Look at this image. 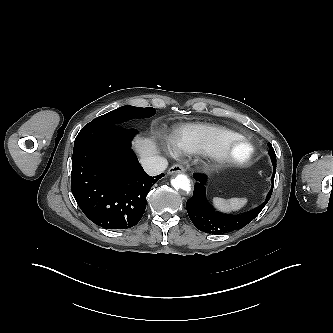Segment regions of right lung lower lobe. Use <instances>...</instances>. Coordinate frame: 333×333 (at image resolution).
<instances>
[{"label":"right lung lower lobe","instance_id":"98d812e1","mask_svg":"<svg viewBox=\"0 0 333 333\" xmlns=\"http://www.w3.org/2000/svg\"><path fill=\"white\" fill-rule=\"evenodd\" d=\"M136 133L120 125L86 124L75 139L72 194L87 218L106 229L135 226L149 189L164 176L143 170L130 148Z\"/></svg>","mask_w":333,"mask_h":333}]
</instances>
